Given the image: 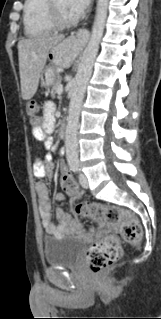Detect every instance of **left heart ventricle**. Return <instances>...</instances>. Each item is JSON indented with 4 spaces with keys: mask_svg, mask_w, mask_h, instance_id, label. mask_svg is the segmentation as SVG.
<instances>
[{
    "mask_svg": "<svg viewBox=\"0 0 161 319\" xmlns=\"http://www.w3.org/2000/svg\"><path fill=\"white\" fill-rule=\"evenodd\" d=\"M57 6L60 11V14L65 19H71L75 18L76 16L71 13V11L68 8L67 0H57Z\"/></svg>",
    "mask_w": 161,
    "mask_h": 319,
    "instance_id": "left-heart-ventricle-1",
    "label": "left heart ventricle"
}]
</instances>
